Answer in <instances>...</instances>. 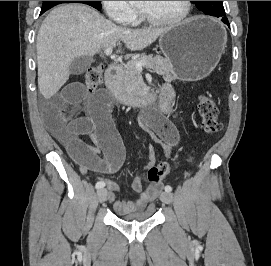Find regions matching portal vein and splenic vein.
<instances>
[{
	"instance_id": "portal-vein-and-splenic-vein-1",
	"label": "portal vein and splenic vein",
	"mask_w": 271,
	"mask_h": 266,
	"mask_svg": "<svg viewBox=\"0 0 271 266\" xmlns=\"http://www.w3.org/2000/svg\"><path fill=\"white\" fill-rule=\"evenodd\" d=\"M104 53H105V55H107V56H109V55H111V53H112V48H107L105 51H104ZM147 62H137V63H135L134 65H135V67H136V69H138L140 72L142 71V67H144V66H147Z\"/></svg>"
}]
</instances>
